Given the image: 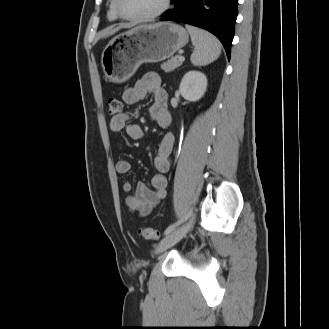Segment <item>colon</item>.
I'll use <instances>...</instances> for the list:
<instances>
[{
  "instance_id": "5ec220e1",
  "label": "colon",
  "mask_w": 329,
  "mask_h": 329,
  "mask_svg": "<svg viewBox=\"0 0 329 329\" xmlns=\"http://www.w3.org/2000/svg\"><path fill=\"white\" fill-rule=\"evenodd\" d=\"M122 102L118 97H110L108 99V110L112 115H118L122 111ZM139 236L146 240H158L160 238L159 231L149 228V227H141L138 230Z\"/></svg>"
}]
</instances>
